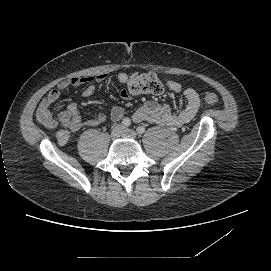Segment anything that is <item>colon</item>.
<instances>
[{"label":"colon","mask_w":271,"mask_h":271,"mask_svg":"<svg viewBox=\"0 0 271 271\" xmlns=\"http://www.w3.org/2000/svg\"><path fill=\"white\" fill-rule=\"evenodd\" d=\"M125 85L126 91L131 95L152 94L159 95L163 92V84L156 76V74L134 72L128 76ZM205 100L212 104L217 105L219 98L214 93H205Z\"/></svg>","instance_id":"1"}]
</instances>
